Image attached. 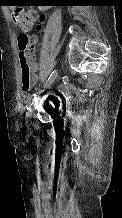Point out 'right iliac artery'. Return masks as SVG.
I'll return each mask as SVG.
<instances>
[{
	"label": "right iliac artery",
	"mask_w": 122,
	"mask_h": 218,
	"mask_svg": "<svg viewBox=\"0 0 122 218\" xmlns=\"http://www.w3.org/2000/svg\"><path fill=\"white\" fill-rule=\"evenodd\" d=\"M56 75H57V71L54 70V71L51 73V75L49 76V78L47 79L45 85L48 84L49 82H51V81L56 77ZM36 95H37V92L32 94V96L28 99V105H31V104L33 103V101H34L35 98H36ZM27 109H28V107H27Z\"/></svg>",
	"instance_id": "obj_1"
}]
</instances>
